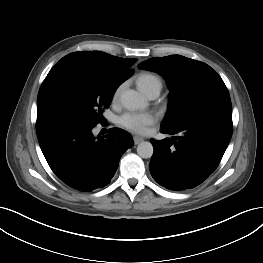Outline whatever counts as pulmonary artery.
Masks as SVG:
<instances>
[{
  "label": "pulmonary artery",
  "mask_w": 263,
  "mask_h": 263,
  "mask_svg": "<svg viewBox=\"0 0 263 263\" xmlns=\"http://www.w3.org/2000/svg\"><path fill=\"white\" fill-rule=\"evenodd\" d=\"M161 88L160 82H154L140 89L149 99H156L160 95Z\"/></svg>",
  "instance_id": "obj_1"
}]
</instances>
